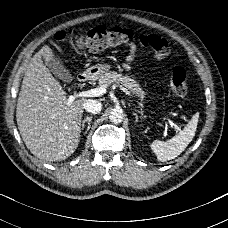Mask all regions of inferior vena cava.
<instances>
[{
    "label": "inferior vena cava",
    "instance_id": "1",
    "mask_svg": "<svg viewBox=\"0 0 228 228\" xmlns=\"http://www.w3.org/2000/svg\"><path fill=\"white\" fill-rule=\"evenodd\" d=\"M84 109L87 112L93 113V114H97L101 111L102 109V104L97 101V100H93V99H87L84 103Z\"/></svg>",
    "mask_w": 228,
    "mask_h": 228
}]
</instances>
